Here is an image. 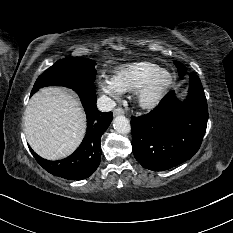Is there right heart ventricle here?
I'll use <instances>...</instances> for the list:
<instances>
[{"label": "right heart ventricle", "instance_id": "right-heart-ventricle-1", "mask_svg": "<svg viewBox=\"0 0 233 233\" xmlns=\"http://www.w3.org/2000/svg\"><path fill=\"white\" fill-rule=\"evenodd\" d=\"M159 66L151 62H135L120 67L114 80L122 91H135Z\"/></svg>", "mask_w": 233, "mask_h": 233}]
</instances>
